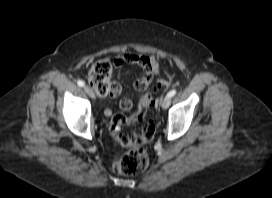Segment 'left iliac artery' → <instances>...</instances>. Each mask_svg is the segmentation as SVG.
<instances>
[{
    "mask_svg": "<svg viewBox=\"0 0 272 198\" xmlns=\"http://www.w3.org/2000/svg\"><path fill=\"white\" fill-rule=\"evenodd\" d=\"M175 94H176V90L173 89V90H171L170 92H168L167 96H168V97H173Z\"/></svg>",
    "mask_w": 272,
    "mask_h": 198,
    "instance_id": "left-iliac-artery-1",
    "label": "left iliac artery"
}]
</instances>
